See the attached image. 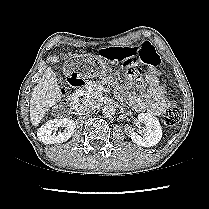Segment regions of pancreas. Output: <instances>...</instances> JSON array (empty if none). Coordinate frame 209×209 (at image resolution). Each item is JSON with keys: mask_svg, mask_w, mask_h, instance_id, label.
<instances>
[{"mask_svg": "<svg viewBox=\"0 0 209 209\" xmlns=\"http://www.w3.org/2000/svg\"><path fill=\"white\" fill-rule=\"evenodd\" d=\"M114 84V83H112ZM100 83L96 81H90L86 90L83 91V97L98 98L102 95V92L98 89Z\"/></svg>", "mask_w": 209, "mask_h": 209, "instance_id": "cf45deb5", "label": "pancreas"}]
</instances>
